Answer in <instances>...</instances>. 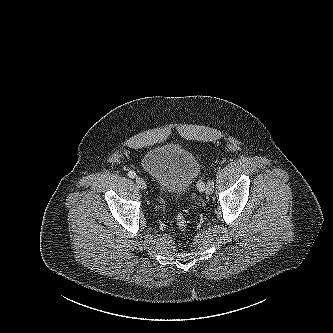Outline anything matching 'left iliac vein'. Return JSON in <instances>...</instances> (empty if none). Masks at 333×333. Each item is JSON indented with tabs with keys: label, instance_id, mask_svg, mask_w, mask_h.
Instances as JSON below:
<instances>
[{
	"label": "left iliac vein",
	"instance_id": "1",
	"mask_svg": "<svg viewBox=\"0 0 333 333\" xmlns=\"http://www.w3.org/2000/svg\"><path fill=\"white\" fill-rule=\"evenodd\" d=\"M214 184L213 181H209L205 187V193L211 195L213 193Z\"/></svg>",
	"mask_w": 333,
	"mask_h": 333
}]
</instances>
